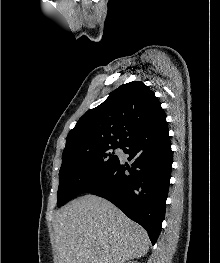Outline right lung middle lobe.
<instances>
[{"label":"right lung middle lobe","mask_w":220,"mask_h":263,"mask_svg":"<svg viewBox=\"0 0 220 263\" xmlns=\"http://www.w3.org/2000/svg\"><path fill=\"white\" fill-rule=\"evenodd\" d=\"M116 148L107 147L63 154L57 206L60 207L81 194L86 187L102 178L115 166L120 161L114 154Z\"/></svg>","instance_id":"right-lung-middle-lobe-1"}]
</instances>
